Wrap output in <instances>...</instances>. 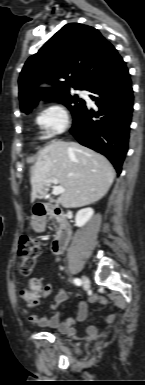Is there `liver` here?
<instances>
[{"mask_svg": "<svg viewBox=\"0 0 145 385\" xmlns=\"http://www.w3.org/2000/svg\"><path fill=\"white\" fill-rule=\"evenodd\" d=\"M58 179L64 192L58 198L64 208L93 204L103 198L115 178L111 163L103 155L75 142L53 141L38 152L30 168L31 201L43 198Z\"/></svg>", "mask_w": 145, "mask_h": 385, "instance_id": "obj_1", "label": "liver"}]
</instances>
